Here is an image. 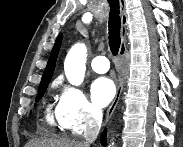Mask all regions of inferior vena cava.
I'll list each match as a JSON object with an SVG mask.
<instances>
[{"mask_svg":"<svg viewBox=\"0 0 183 147\" xmlns=\"http://www.w3.org/2000/svg\"><path fill=\"white\" fill-rule=\"evenodd\" d=\"M92 115L93 121L89 124L88 128L84 132V143L86 146H89V144L96 140L102 123V111L100 109H95Z\"/></svg>","mask_w":183,"mask_h":147,"instance_id":"obj_1","label":"inferior vena cava"}]
</instances>
